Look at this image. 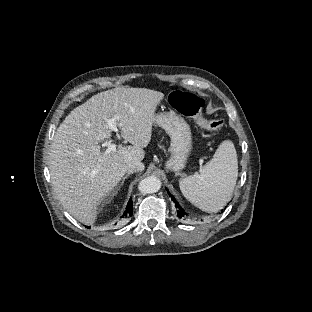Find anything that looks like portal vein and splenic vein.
<instances>
[{
    "instance_id": "obj_1",
    "label": "portal vein and splenic vein",
    "mask_w": 312,
    "mask_h": 312,
    "mask_svg": "<svg viewBox=\"0 0 312 312\" xmlns=\"http://www.w3.org/2000/svg\"><path fill=\"white\" fill-rule=\"evenodd\" d=\"M107 126H108V129H110L111 131L115 133H119V128L116 125V120L114 117L110 118L107 121ZM102 147H107L108 151H114L116 149V144L112 142H104L102 144Z\"/></svg>"
}]
</instances>
